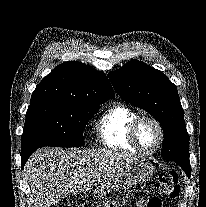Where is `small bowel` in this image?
<instances>
[{"label":"small bowel","mask_w":206,"mask_h":207,"mask_svg":"<svg viewBox=\"0 0 206 207\" xmlns=\"http://www.w3.org/2000/svg\"><path fill=\"white\" fill-rule=\"evenodd\" d=\"M136 207H144V206H143V204H139V205H138V206H136Z\"/></svg>","instance_id":"c3829d8e"}]
</instances>
